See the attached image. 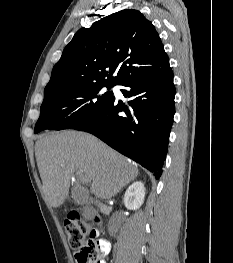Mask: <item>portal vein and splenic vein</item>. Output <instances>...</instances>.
Instances as JSON below:
<instances>
[{
    "label": "portal vein and splenic vein",
    "mask_w": 233,
    "mask_h": 263,
    "mask_svg": "<svg viewBox=\"0 0 233 263\" xmlns=\"http://www.w3.org/2000/svg\"><path fill=\"white\" fill-rule=\"evenodd\" d=\"M78 173V178H79V180H80V182L81 183H83V184H88V183H90V178L89 177H87L85 174H83V173H80V172H77Z\"/></svg>",
    "instance_id": "18ae733b"
}]
</instances>
